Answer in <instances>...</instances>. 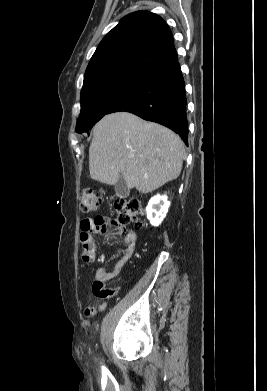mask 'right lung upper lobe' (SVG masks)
<instances>
[{
	"instance_id": "1",
	"label": "right lung upper lobe",
	"mask_w": 267,
	"mask_h": 391,
	"mask_svg": "<svg viewBox=\"0 0 267 391\" xmlns=\"http://www.w3.org/2000/svg\"><path fill=\"white\" fill-rule=\"evenodd\" d=\"M177 59L165 21L154 13L137 11L122 18L102 39L87 66L84 83L120 71L151 75Z\"/></svg>"
}]
</instances>
